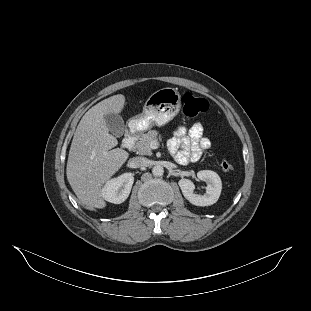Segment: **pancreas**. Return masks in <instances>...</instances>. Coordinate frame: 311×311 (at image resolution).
I'll list each match as a JSON object with an SVG mask.
<instances>
[{
    "label": "pancreas",
    "mask_w": 311,
    "mask_h": 311,
    "mask_svg": "<svg viewBox=\"0 0 311 311\" xmlns=\"http://www.w3.org/2000/svg\"><path fill=\"white\" fill-rule=\"evenodd\" d=\"M159 132L157 130H150L148 133L142 134L139 141L135 143L133 151L138 155H152L151 142L158 138Z\"/></svg>",
    "instance_id": "pancreas-1"
}]
</instances>
